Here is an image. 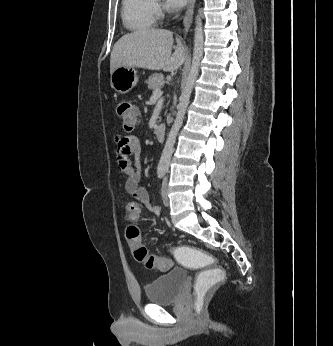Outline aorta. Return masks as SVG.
Returning <instances> with one entry per match:
<instances>
[{
  "label": "aorta",
  "instance_id": "obj_1",
  "mask_svg": "<svg viewBox=\"0 0 333 346\" xmlns=\"http://www.w3.org/2000/svg\"><path fill=\"white\" fill-rule=\"evenodd\" d=\"M195 23H196V27H195V34H194V48H193L192 64H191L188 77L185 82V86L182 90V93L179 99L176 118L168 134L164 149L162 151V155L160 157V161L158 165L159 168L167 169L169 167L171 157L174 151L176 138L182 126L183 119H184V116L190 101V96L193 90V86L199 74V66H200V61L203 57V43H204L201 15H197Z\"/></svg>",
  "mask_w": 333,
  "mask_h": 346
}]
</instances>
